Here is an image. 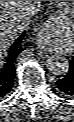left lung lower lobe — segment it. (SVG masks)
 Segmentation results:
<instances>
[{
  "label": "left lung lower lobe",
  "mask_w": 74,
  "mask_h": 122,
  "mask_svg": "<svg viewBox=\"0 0 74 122\" xmlns=\"http://www.w3.org/2000/svg\"><path fill=\"white\" fill-rule=\"evenodd\" d=\"M56 90L63 95L74 96V56L68 73L56 82Z\"/></svg>",
  "instance_id": "0a47b994"
}]
</instances>
